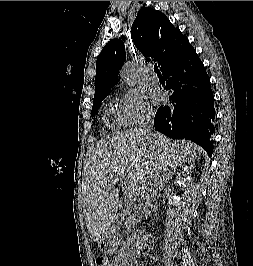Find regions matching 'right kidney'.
I'll list each match as a JSON object with an SVG mask.
<instances>
[{
	"mask_svg": "<svg viewBox=\"0 0 253 266\" xmlns=\"http://www.w3.org/2000/svg\"><path fill=\"white\" fill-rule=\"evenodd\" d=\"M139 234L142 236L140 239V243L141 244L145 243V245H146V242H148L147 235L144 233V231H140Z\"/></svg>",
	"mask_w": 253,
	"mask_h": 266,
	"instance_id": "ca27d5eb",
	"label": "right kidney"
}]
</instances>
